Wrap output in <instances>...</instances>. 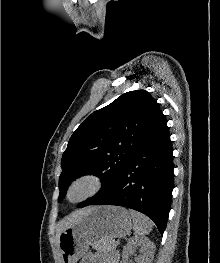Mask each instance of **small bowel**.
Listing matches in <instances>:
<instances>
[{"mask_svg": "<svg viewBox=\"0 0 220 263\" xmlns=\"http://www.w3.org/2000/svg\"><path fill=\"white\" fill-rule=\"evenodd\" d=\"M81 263H108L107 261L95 256L94 254H87Z\"/></svg>", "mask_w": 220, "mask_h": 263, "instance_id": "c3829d8e", "label": "small bowel"}]
</instances>
